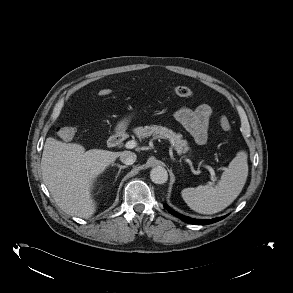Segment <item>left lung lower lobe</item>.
I'll return each mask as SVG.
<instances>
[{
	"instance_id": "obj_1",
	"label": "left lung lower lobe",
	"mask_w": 293,
	"mask_h": 293,
	"mask_svg": "<svg viewBox=\"0 0 293 293\" xmlns=\"http://www.w3.org/2000/svg\"><path fill=\"white\" fill-rule=\"evenodd\" d=\"M171 214H173L174 216L184 220L187 223L190 224H194V225H206V224H211V223H215L224 217H220V218H215V219H211V220H197V219H193V218H189V217H185L177 212H175L174 210H172L170 207H168L167 205L164 206Z\"/></svg>"
}]
</instances>
